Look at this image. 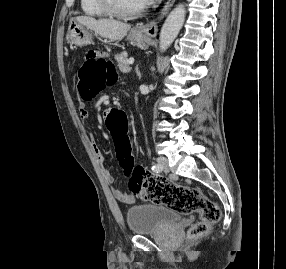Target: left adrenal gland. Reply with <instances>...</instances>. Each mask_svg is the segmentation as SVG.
<instances>
[{"mask_svg": "<svg viewBox=\"0 0 286 269\" xmlns=\"http://www.w3.org/2000/svg\"><path fill=\"white\" fill-rule=\"evenodd\" d=\"M135 71H136V74H137V76L139 77V80H140L141 79V72L139 71L138 65L136 66Z\"/></svg>", "mask_w": 286, "mask_h": 269, "instance_id": "left-adrenal-gland-1", "label": "left adrenal gland"}]
</instances>
